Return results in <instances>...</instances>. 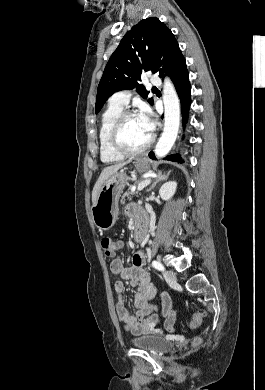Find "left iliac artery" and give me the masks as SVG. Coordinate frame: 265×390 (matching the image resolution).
Instances as JSON below:
<instances>
[{"mask_svg": "<svg viewBox=\"0 0 265 390\" xmlns=\"http://www.w3.org/2000/svg\"><path fill=\"white\" fill-rule=\"evenodd\" d=\"M152 266H153L154 268H156L157 270H160V271H163V270H164V266H163L159 261L154 260V261L152 262Z\"/></svg>", "mask_w": 265, "mask_h": 390, "instance_id": "1", "label": "left iliac artery"}]
</instances>
